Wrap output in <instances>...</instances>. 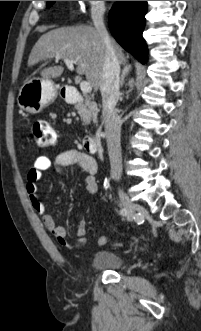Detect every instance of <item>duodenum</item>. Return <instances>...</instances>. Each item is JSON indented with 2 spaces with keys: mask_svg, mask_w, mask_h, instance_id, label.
Returning a JSON list of instances; mask_svg holds the SVG:
<instances>
[{
  "mask_svg": "<svg viewBox=\"0 0 201 331\" xmlns=\"http://www.w3.org/2000/svg\"><path fill=\"white\" fill-rule=\"evenodd\" d=\"M60 95L71 104H76L80 101L77 89L70 85L62 87ZM82 146L90 153H95L98 149L97 140L93 135H85L82 139Z\"/></svg>",
  "mask_w": 201,
  "mask_h": 331,
  "instance_id": "obj_1",
  "label": "duodenum"
}]
</instances>
